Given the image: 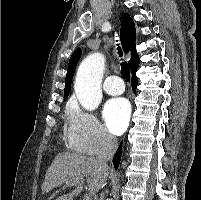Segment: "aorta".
Returning <instances> with one entry per match:
<instances>
[{"label":"aorta","instance_id":"1","mask_svg":"<svg viewBox=\"0 0 201 200\" xmlns=\"http://www.w3.org/2000/svg\"><path fill=\"white\" fill-rule=\"evenodd\" d=\"M104 66L105 58L97 52L88 55L78 68L74 90L78 101L86 110L96 109L102 100Z\"/></svg>","mask_w":201,"mask_h":200}]
</instances>
